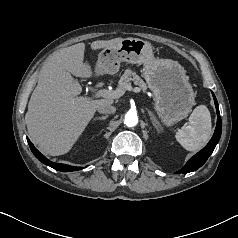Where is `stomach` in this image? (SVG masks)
<instances>
[{
    "label": "stomach",
    "mask_w": 238,
    "mask_h": 238,
    "mask_svg": "<svg viewBox=\"0 0 238 238\" xmlns=\"http://www.w3.org/2000/svg\"><path fill=\"white\" fill-rule=\"evenodd\" d=\"M121 62L144 65L143 76L164 124L171 126L188 116L195 96L186 71L177 61L155 58L149 42L125 38L99 53L95 70L98 74L113 75L119 71Z\"/></svg>",
    "instance_id": "stomach-1"
}]
</instances>
